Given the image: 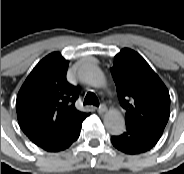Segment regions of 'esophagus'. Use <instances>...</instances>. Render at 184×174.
<instances>
[{"label": "esophagus", "instance_id": "obj_1", "mask_svg": "<svg viewBox=\"0 0 184 174\" xmlns=\"http://www.w3.org/2000/svg\"><path fill=\"white\" fill-rule=\"evenodd\" d=\"M98 111H99L100 113H104L105 111H107V106H106V104H105V103H101L100 106H99V108H98Z\"/></svg>", "mask_w": 184, "mask_h": 174}]
</instances>
